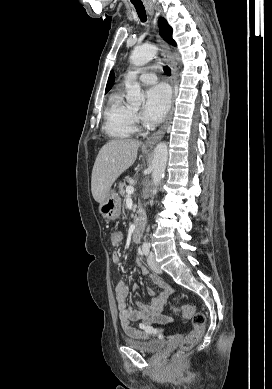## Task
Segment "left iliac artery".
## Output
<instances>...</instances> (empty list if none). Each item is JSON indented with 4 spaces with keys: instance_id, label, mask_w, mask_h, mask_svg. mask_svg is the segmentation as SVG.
Wrapping results in <instances>:
<instances>
[{
    "instance_id": "left-iliac-artery-1",
    "label": "left iliac artery",
    "mask_w": 272,
    "mask_h": 389,
    "mask_svg": "<svg viewBox=\"0 0 272 389\" xmlns=\"http://www.w3.org/2000/svg\"><path fill=\"white\" fill-rule=\"evenodd\" d=\"M150 250V244L148 242H144L142 245V251L145 255H148Z\"/></svg>"
}]
</instances>
